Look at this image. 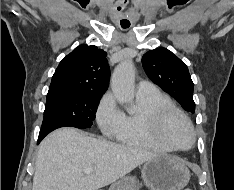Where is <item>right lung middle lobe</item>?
Returning <instances> with one entry per match:
<instances>
[{"mask_svg": "<svg viewBox=\"0 0 234 190\" xmlns=\"http://www.w3.org/2000/svg\"><path fill=\"white\" fill-rule=\"evenodd\" d=\"M101 95L49 90L39 135L46 136L60 127L89 128Z\"/></svg>", "mask_w": 234, "mask_h": 190, "instance_id": "1", "label": "right lung middle lobe"}]
</instances>
